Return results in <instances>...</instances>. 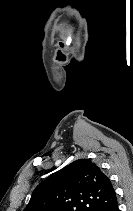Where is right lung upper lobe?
<instances>
[{"mask_svg": "<svg viewBox=\"0 0 133 211\" xmlns=\"http://www.w3.org/2000/svg\"><path fill=\"white\" fill-rule=\"evenodd\" d=\"M117 204L110 179L87 159H79L41 182L24 211H109Z\"/></svg>", "mask_w": 133, "mask_h": 211, "instance_id": "1", "label": "right lung upper lobe"}]
</instances>
